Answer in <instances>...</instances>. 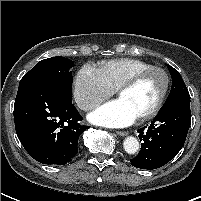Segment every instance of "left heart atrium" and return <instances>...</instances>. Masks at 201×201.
Returning a JSON list of instances; mask_svg holds the SVG:
<instances>
[{
	"label": "left heart atrium",
	"mask_w": 201,
	"mask_h": 201,
	"mask_svg": "<svg viewBox=\"0 0 201 201\" xmlns=\"http://www.w3.org/2000/svg\"><path fill=\"white\" fill-rule=\"evenodd\" d=\"M137 118L136 114L121 99L106 103L89 115L91 122L109 128L129 126Z\"/></svg>",
	"instance_id": "39dd6f15"
}]
</instances>
